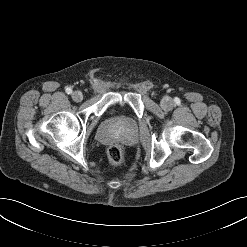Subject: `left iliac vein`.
Returning a JSON list of instances; mask_svg holds the SVG:
<instances>
[{
	"label": "left iliac vein",
	"mask_w": 247,
	"mask_h": 247,
	"mask_svg": "<svg viewBox=\"0 0 247 247\" xmlns=\"http://www.w3.org/2000/svg\"><path fill=\"white\" fill-rule=\"evenodd\" d=\"M161 107L164 109V110H170L173 108V101L171 99H168V98H164L162 101H161Z\"/></svg>",
	"instance_id": "left-iliac-vein-1"
}]
</instances>
